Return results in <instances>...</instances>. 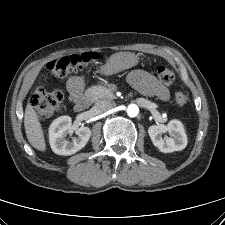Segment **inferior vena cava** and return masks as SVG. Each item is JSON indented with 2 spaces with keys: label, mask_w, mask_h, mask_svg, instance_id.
Instances as JSON below:
<instances>
[{
  "label": "inferior vena cava",
  "mask_w": 225,
  "mask_h": 225,
  "mask_svg": "<svg viewBox=\"0 0 225 225\" xmlns=\"http://www.w3.org/2000/svg\"><path fill=\"white\" fill-rule=\"evenodd\" d=\"M95 105L101 112H107L116 106L114 101L107 99L98 100Z\"/></svg>",
  "instance_id": "obj_1"
}]
</instances>
